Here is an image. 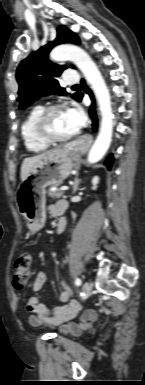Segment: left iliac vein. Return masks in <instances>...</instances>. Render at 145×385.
<instances>
[{"label": "left iliac vein", "instance_id": "1", "mask_svg": "<svg viewBox=\"0 0 145 385\" xmlns=\"http://www.w3.org/2000/svg\"><path fill=\"white\" fill-rule=\"evenodd\" d=\"M90 289H91L90 283L88 281L84 282L82 286V293L84 297L89 294Z\"/></svg>", "mask_w": 145, "mask_h": 385}]
</instances>
